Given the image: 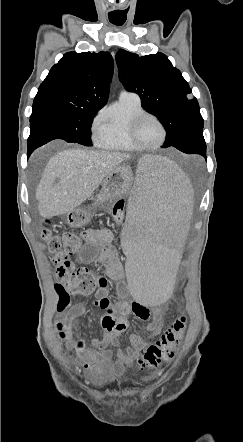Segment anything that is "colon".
<instances>
[{"instance_id": "1", "label": "colon", "mask_w": 243, "mask_h": 442, "mask_svg": "<svg viewBox=\"0 0 243 442\" xmlns=\"http://www.w3.org/2000/svg\"><path fill=\"white\" fill-rule=\"evenodd\" d=\"M123 209L124 202L118 201L114 207V220L117 223L123 221ZM41 236L46 241L52 256L57 279L55 290L59 297L57 304L59 308H65L68 305L70 296L89 295L99 288L96 285L98 276L87 267H76L70 259L81 249L82 241L77 234L66 232L60 237L53 234L51 230L44 229ZM186 325L187 317L185 315L175 317L161 337L149 344L141 357L138 358V368H153L171 359L180 345Z\"/></svg>"}]
</instances>
